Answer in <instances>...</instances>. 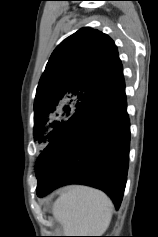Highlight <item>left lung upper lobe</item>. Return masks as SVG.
I'll list each match as a JSON object with an SVG mask.
<instances>
[{
	"mask_svg": "<svg viewBox=\"0 0 158 237\" xmlns=\"http://www.w3.org/2000/svg\"><path fill=\"white\" fill-rule=\"evenodd\" d=\"M123 80L114 42L89 27L66 38L52 53L34 101L35 141L50 142L79 108ZM38 182L42 174L36 171Z\"/></svg>",
	"mask_w": 158,
	"mask_h": 237,
	"instance_id": "obj_1",
	"label": "left lung upper lobe"
}]
</instances>
